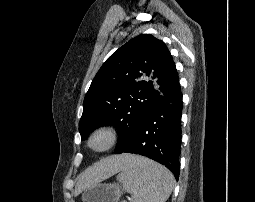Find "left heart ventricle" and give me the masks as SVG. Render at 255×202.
<instances>
[{"mask_svg": "<svg viewBox=\"0 0 255 202\" xmlns=\"http://www.w3.org/2000/svg\"><path fill=\"white\" fill-rule=\"evenodd\" d=\"M94 144H95L96 146L102 145V144H103V139H97V140L94 142Z\"/></svg>", "mask_w": 255, "mask_h": 202, "instance_id": "left-heart-ventricle-1", "label": "left heart ventricle"}]
</instances>
